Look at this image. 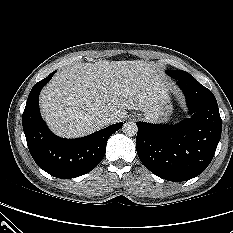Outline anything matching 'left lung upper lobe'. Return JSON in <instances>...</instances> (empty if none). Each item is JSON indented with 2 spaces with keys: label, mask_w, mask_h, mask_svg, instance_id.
I'll return each mask as SVG.
<instances>
[{
  "label": "left lung upper lobe",
  "mask_w": 233,
  "mask_h": 233,
  "mask_svg": "<svg viewBox=\"0 0 233 233\" xmlns=\"http://www.w3.org/2000/svg\"><path fill=\"white\" fill-rule=\"evenodd\" d=\"M166 73L176 80L193 78L192 75L182 70H166Z\"/></svg>",
  "instance_id": "1"
}]
</instances>
